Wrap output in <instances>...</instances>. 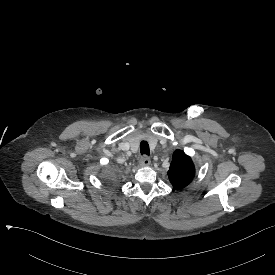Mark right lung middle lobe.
<instances>
[{
  "instance_id": "obj_1",
  "label": "right lung middle lobe",
  "mask_w": 275,
  "mask_h": 275,
  "mask_svg": "<svg viewBox=\"0 0 275 275\" xmlns=\"http://www.w3.org/2000/svg\"><path fill=\"white\" fill-rule=\"evenodd\" d=\"M98 178L105 182V189L112 194L118 193L124 185L122 172L112 164L102 165L97 172Z\"/></svg>"
}]
</instances>
